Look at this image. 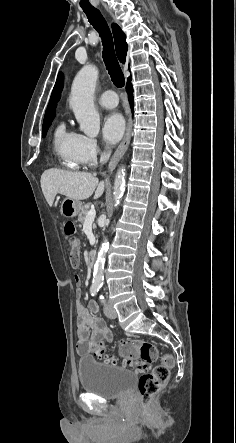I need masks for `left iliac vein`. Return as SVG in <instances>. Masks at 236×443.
I'll use <instances>...</instances> for the list:
<instances>
[{
  "instance_id": "1",
  "label": "left iliac vein",
  "mask_w": 236,
  "mask_h": 443,
  "mask_svg": "<svg viewBox=\"0 0 236 443\" xmlns=\"http://www.w3.org/2000/svg\"><path fill=\"white\" fill-rule=\"evenodd\" d=\"M104 314L111 319H115L117 317V312L111 305H106L104 307Z\"/></svg>"
}]
</instances>
